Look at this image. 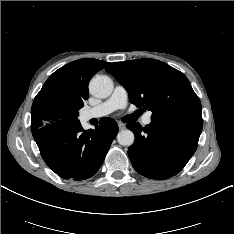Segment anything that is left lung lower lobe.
I'll return each instance as SVG.
<instances>
[{"label":"left lung lower lobe","instance_id":"0a47b994","mask_svg":"<svg viewBox=\"0 0 234 234\" xmlns=\"http://www.w3.org/2000/svg\"><path fill=\"white\" fill-rule=\"evenodd\" d=\"M135 135L128 155L134 169L151 179H167L179 173L198 146L202 116L151 120L144 128L127 124Z\"/></svg>","mask_w":234,"mask_h":234}]
</instances>
